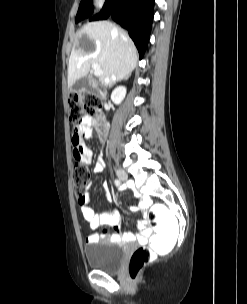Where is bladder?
Listing matches in <instances>:
<instances>
[{"instance_id": "31cf9c89", "label": "bladder", "mask_w": 247, "mask_h": 304, "mask_svg": "<svg viewBox=\"0 0 247 304\" xmlns=\"http://www.w3.org/2000/svg\"><path fill=\"white\" fill-rule=\"evenodd\" d=\"M84 252L89 267L106 273H114L123 263L125 246L122 242L99 239L87 244Z\"/></svg>"}]
</instances>
